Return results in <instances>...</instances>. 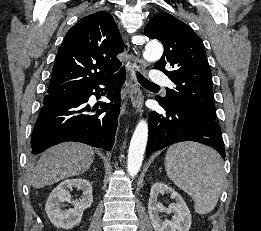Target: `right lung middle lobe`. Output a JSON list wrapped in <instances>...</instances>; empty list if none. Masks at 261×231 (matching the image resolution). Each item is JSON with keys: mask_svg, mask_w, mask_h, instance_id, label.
Masks as SVG:
<instances>
[{"mask_svg": "<svg viewBox=\"0 0 261 231\" xmlns=\"http://www.w3.org/2000/svg\"><path fill=\"white\" fill-rule=\"evenodd\" d=\"M76 96V95H74ZM74 96H52V95H47L45 96L44 100H43V105H48V104H52L61 100H65Z\"/></svg>", "mask_w": 261, "mask_h": 231, "instance_id": "right-lung-middle-lobe-1", "label": "right lung middle lobe"}]
</instances>
